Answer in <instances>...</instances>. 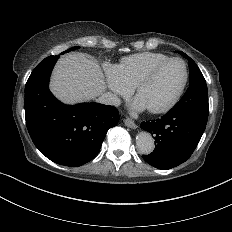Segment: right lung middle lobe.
<instances>
[{
    "label": "right lung middle lobe",
    "instance_id": "dd1d6c3e",
    "mask_svg": "<svg viewBox=\"0 0 232 232\" xmlns=\"http://www.w3.org/2000/svg\"><path fill=\"white\" fill-rule=\"evenodd\" d=\"M79 47H73V48H70V49H68L67 51H65V52H69V51H71V50H75V49H78ZM65 52H63V53H65Z\"/></svg>",
    "mask_w": 232,
    "mask_h": 232
}]
</instances>
